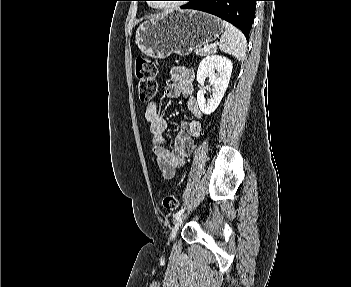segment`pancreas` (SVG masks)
Returning a JSON list of instances; mask_svg holds the SVG:
<instances>
[{"mask_svg":"<svg viewBox=\"0 0 351 287\" xmlns=\"http://www.w3.org/2000/svg\"><path fill=\"white\" fill-rule=\"evenodd\" d=\"M214 51V49L208 48V50H204V48L199 47L198 49L195 50V53L199 56H206L207 54H210Z\"/></svg>","mask_w":351,"mask_h":287,"instance_id":"pancreas-1","label":"pancreas"}]
</instances>
